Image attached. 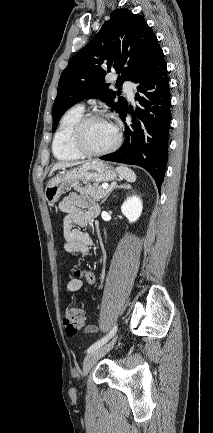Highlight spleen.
<instances>
[{
  "label": "spleen",
  "mask_w": 213,
  "mask_h": 433,
  "mask_svg": "<svg viewBox=\"0 0 213 433\" xmlns=\"http://www.w3.org/2000/svg\"><path fill=\"white\" fill-rule=\"evenodd\" d=\"M116 171L119 173V175L127 180L128 182H135L136 181V174L129 168L125 166H120L116 168Z\"/></svg>",
  "instance_id": "spleen-1"
}]
</instances>
